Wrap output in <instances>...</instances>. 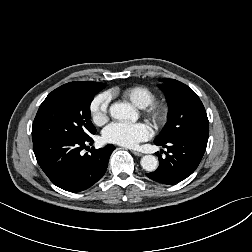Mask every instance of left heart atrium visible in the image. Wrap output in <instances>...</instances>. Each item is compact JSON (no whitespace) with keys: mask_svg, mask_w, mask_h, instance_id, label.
<instances>
[{"mask_svg":"<svg viewBox=\"0 0 252 252\" xmlns=\"http://www.w3.org/2000/svg\"><path fill=\"white\" fill-rule=\"evenodd\" d=\"M150 135V127L142 122H114L103 131V139L106 142L124 147H134L138 143L147 140Z\"/></svg>","mask_w":252,"mask_h":252,"instance_id":"39dd6f15","label":"left heart atrium"}]
</instances>
